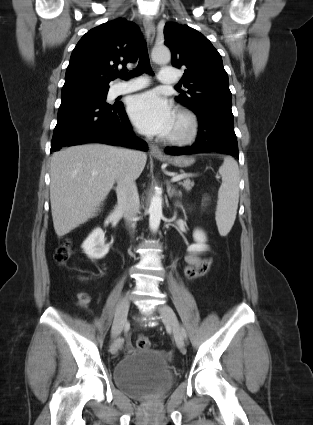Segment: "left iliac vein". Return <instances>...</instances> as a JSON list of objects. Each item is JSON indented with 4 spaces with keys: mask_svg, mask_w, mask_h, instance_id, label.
Returning <instances> with one entry per match:
<instances>
[{
    "mask_svg": "<svg viewBox=\"0 0 313 425\" xmlns=\"http://www.w3.org/2000/svg\"><path fill=\"white\" fill-rule=\"evenodd\" d=\"M158 311L161 314L165 324L171 327L177 347L181 350L184 349V337L173 309L168 305L163 304L158 307Z\"/></svg>",
    "mask_w": 313,
    "mask_h": 425,
    "instance_id": "4c4485c4",
    "label": "left iliac vein"
}]
</instances>
